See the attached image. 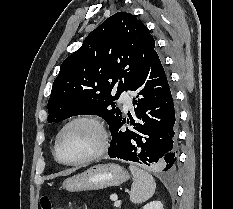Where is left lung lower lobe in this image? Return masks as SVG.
<instances>
[{
  "instance_id": "1",
  "label": "left lung lower lobe",
  "mask_w": 233,
  "mask_h": 209,
  "mask_svg": "<svg viewBox=\"0 0 233 209\" xmlns=\"http://www.w3.org/2000/svg\"><path fill=\"white\" fill-rule=\"evenodd\" d=\"M128 90L136 93L133 105L137 122L129 113L130 129L122 128L125 118L110 125L109 156L163 171L174 169L177 160L176 113L168 79L156 51L134 77Z\"/></svg>"
}]
</instances>
